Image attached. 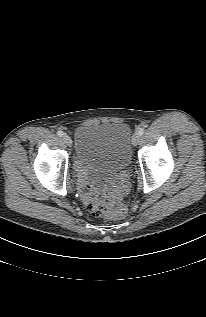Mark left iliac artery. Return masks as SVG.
Listing matches in <instances>:
<instances>
[{"label": "left iliac artery", "instance_id": "obj_1", "mask_svg": "<svg viewBox=\"0 0 206 317\" xmlns=\"http://www.w3.org/2000/svg\"><path fill=\"white\" fill-rule=\"evenodd\" d=\"M144 131H145L144 128L139 129L138 133L140 134V136L144 134Z\"/></svg>", "mask_w": 206, "mask_h": 317}]
</instances>
